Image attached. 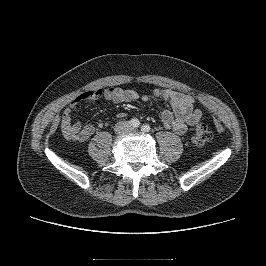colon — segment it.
Wrapping results in <instances>:
<instances>
[{
	"instance_id": "1",
	"label": "colon",
	"mask_w": 266,
	"mask_h": 266,
	"mask_svg": "<svg viewBox=\"0 0 266 266\" xmlns=\"http://www.w3.org/2000/svg\"><path fill=\"white\" fill-rule=\"evenodd\" d=\"M212 139V132L204 122H199L192 134L191 141L195 146H203Z\"/></svg>"
}]
</instances>
